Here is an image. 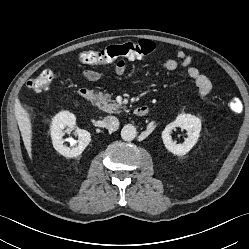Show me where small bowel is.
<instances>
[{
  "label": "small bowel",
  "mask_w": 249,
  "mask_h": 249,
  "mask_svg": "<svg viewBox=\"0 0 249 249\" xmlns=\"http://www.w3.org/2000/svg\"><path fill=\"white\" fill-rule=\"evenodd\" d=\"M192 58L184 51L180 50L176 54V58L168 59L164 62L163 67L168 71H174L179 67L186 68L188 77L197 86L200 97L207 96L212 90V83L210 79L201 73L198 68L191 65ZM126 71V63L119 60L115 65V72L117 75H123ZM82 76L88 81H96L101 77V72L95 69H84Z\"/></svg>",
  "instance_id": "obj_1"
}]
</instances>
